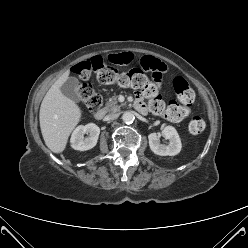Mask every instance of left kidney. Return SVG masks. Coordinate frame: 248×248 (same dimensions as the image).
<instances>
[{"label": "left kidney", "instance_id": "obj_1", "mask_svg": "<svg viewBox=\"0 0 248 248\" xmlns=\"http://www.w3.org/2000/svg\"><path fill=\"white\" fill-rule=\"evenodd\" d=\"M162 136L169 140L168 145L160 143V135L157 133H150L148 135L149 146L152 152L160 156H175L181 151V140L176 131L172 126H166L162 130Z\"/></svg>", "mask_w": 248, "mask_h": 248}]
</instances>
